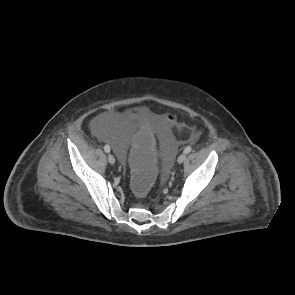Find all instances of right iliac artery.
Listing matches in <instances>:
<instances>
[{"label":"right iliac artery","instance_id":"1","mask_svg":"<svg viewBox=\"0 0 295 295\" xmlns=\"http://www.w3.org/2000/svg\"><path fill=\"white\" fill-rule=\"evenodd\" d=\"M104 150H105L106 153H109L110 152V147L108 145H105Z\"/></svg>","mask_w":295,"mask_h":295}]
</instances>
